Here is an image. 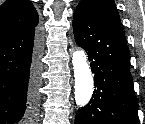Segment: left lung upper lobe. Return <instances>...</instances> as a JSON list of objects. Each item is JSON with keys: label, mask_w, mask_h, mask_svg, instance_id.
I'll use <instances>...</instances> for the list:
<instances>
[{"label": "left lung upper lobe", "mask_w": 145, "mask_h": 124, "mask_svg": "<svg viewBox=\"0 0 145 124\" xmlns=\"http://www.w3.org/2000/svg\"><path fill=\"white\" fill-rule=\"evenodd\" d=\"M77 9L85 10L97 20L121 29L118 11L113 0H82Z\"/></svg>", "instance_id": "1"}]
</instances>
